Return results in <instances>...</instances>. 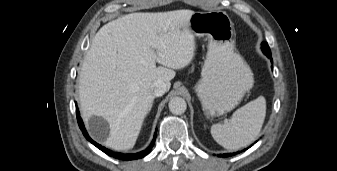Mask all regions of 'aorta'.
Instances as JSON below:
<instances>
[{
    "label": "aorta",
    "instance_id": "762f6f07",
    "mask_svg": "<svg viewBox=\"0 0 337 171\" xmlns=\"http://www.w3.org/2000/svg\"><path fill=\"white\" fill-rule=\"evenodd\" d=\"M169 110L175 115H181L186 111V101L181 97H174L169 101Z\"/></svg>",
    "mask_w": 337,
    "mask_h": 171
}]
</instances>
